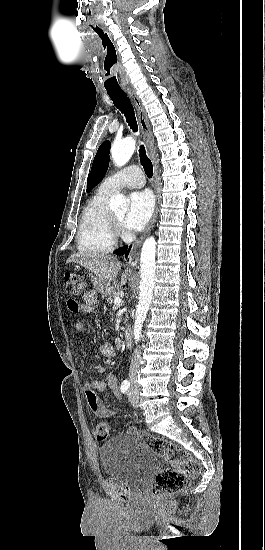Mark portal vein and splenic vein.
Here are the masks:
<instances>
[{
    "mask_svg": "<svg viewBox=\"0 0 265 550\" xmlns=\"http://www.w3.org/2000/svg\"><path fill=\"white\" fill-rule=\"evenodd\" d=\"M113 303L115 306H121L122 305V299L119 296H116L113 298Z\"/></svg>",
    "mask_w": 265,
    "mask_h": 550,
    "instance_id": "portal-vein-and-splenic-vein-1",
    "label": "portal vein and splenic vein"
}]
</instances>
